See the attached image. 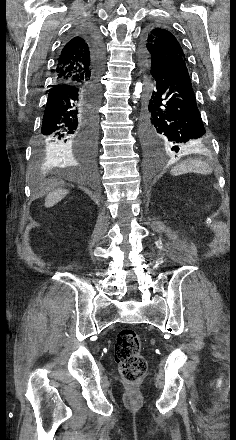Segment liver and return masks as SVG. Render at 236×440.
Here are the masks:
<instances>
[{
  "label": "liver",
  "mask_w": 236,
  "mask_h": 440,
  "mask_svg": "<svg viewBox=\"0 0 236 440\" xmlns=\"http://www.w3.org/2000/svg\"><path fill=\"white\" fill-rule=\"evenodd\" d=\"M68 194V190L66 189H57L49 193L45 199V207L50 208L60 202L66 195Z\"/></svg>",
  "instance_id": "obj_1"
}]
</instances>
